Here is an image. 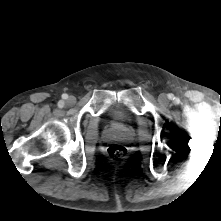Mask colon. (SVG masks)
I'll return each instance as SVG.
<instances>
[{"label":"colon","mask_w":221,"mask_h":221,"mask_svg":"<svg viewBox=\"0 0 221 221\" xmlns=\"http://www.w3.org/2000/svg\"><path fill=\"white\" fill-rule=\"evenodd\" d=\"M127 149L120 144H113L108 147L107 155L113 160H119L126 156Z\"/></svg>","instance_id":"obj_1"}]
</instances>
